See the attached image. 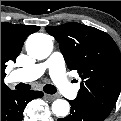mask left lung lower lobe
Instances as JSON below:
<instances>
[{
  "mask_svg": "<svg viewBox=\"0 0 121 121\" xmlns=\"http://www.w3.org/2000/svg\"><path fill=\"white\" fill-rule=\"evenodd\" d=\"M69 103L71 105L70 114L58 121H103L108 116L87 107L78 99L69 101Z\"/></svg>",
  "mask_w": 121,
  "mask_h": 121,
  "instance_id": "0a47b994",
  "label": "left lung lower lobe"
}]
</instances>
